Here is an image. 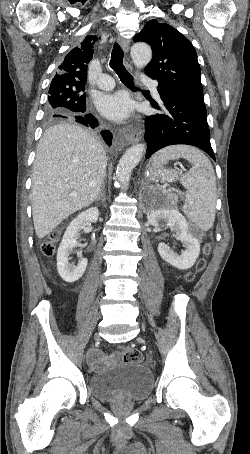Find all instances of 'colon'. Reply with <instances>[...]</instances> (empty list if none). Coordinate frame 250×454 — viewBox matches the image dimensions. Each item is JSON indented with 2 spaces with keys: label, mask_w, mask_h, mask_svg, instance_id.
Listing matches in <instances>:
<instances>
[{
  "label": "colon",
  "mask_w": 250,
  "mask_h": 454,
  "mask_svg": "<svg viewBox=\"0 0 250 454\" xmlns=\"http://www.w3.org/2000/svg\"><path fill=\"white\" fill-rule=\"evenodd\" d=\"M59 237L58 231H54L50 234L49 239L43 242L41 246L42 253L45 256H52L55 252V243ZM210 252V246L206 245L204 247V254L207 255ZM206 266V260L204 258L200 259L197 263L196 272L202 271ZM195 277V273H189L186 275V281L191 282ZM123 360L126 362H140L142 360V355L139 350L133 347H124L121 352Z\"/></svg>",
  "instance_id": "obj_1"
}]
</instances>
